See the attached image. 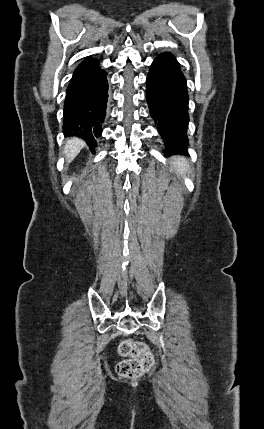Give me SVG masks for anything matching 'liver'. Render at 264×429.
<instances>
[{
    "label": "liver",
    "mask_w": 264,
    "mask_h": 429,
    "mask_svg": "<svg viewBox=\"0 0 264 429\" xmlns=\"http://www.w3.org/2000/svg\"><path fill=\"white\" fill-rule=\"evenodd\" d=\"M85 146V142L79 138H69L65 144L64 154L67 162H71Z\"/></svg>",
    "instance_id": "liver-1"
}]
</instances>
